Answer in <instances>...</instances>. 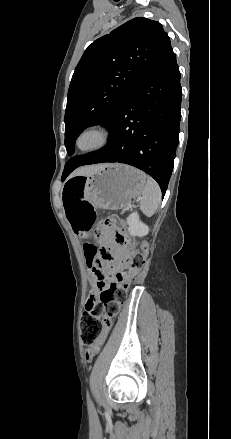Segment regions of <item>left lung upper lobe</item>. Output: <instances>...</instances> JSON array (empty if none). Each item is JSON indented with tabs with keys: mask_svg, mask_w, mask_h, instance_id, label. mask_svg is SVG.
<instances>
[{
	"mask_svg": "<svg viewBox=\"0 0 231 439\" xmlns=\"http://www.w3.org/2000/svg\"><path fill=\"white\" fill-rule=\"evenodd\" d=\"M172 49L162 25L134 18L88 46L75 68L65 110V146L74 153L78 135L87 127L109 128L133 87ZM66 163L62 178H66Z\"/></svg>",
	"mask_w": 231,
	"mask_h": 439,
	"instance_id": "5c2ea615",
	"label": "left lung upper lobe"
}]
</instances>
